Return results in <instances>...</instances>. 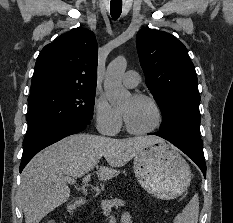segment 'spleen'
<instances>
[{"label": "spleen", "instance_id": "3e777b00", "mask_svg": "<svg viewBox=\"0 0 233 223\" xmlns=\"http://www.w3.org/2000/svg\"><path fill=\"white\" fill-rule=\"evenodd\" d=\"M199 215V195L195 193L186 207L182 209V213H178L177 223H198Z\"/></svg>", "mask_w": 233, "mask_h": 223}]
</instances>
